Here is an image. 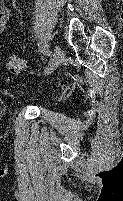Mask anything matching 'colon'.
Masks as SVG:
<instances>
[{"label":"colon","mask_w":123,"mask_h":201,"mask_svg":"<svg viewBox=\"0 0 123 201\" xmlns=\"http://www.w3.org/2000/svg\"><path fill=\"white\" fill-rule=\"evenodd\" d=\"M7 67L11 73L19 74L26 69L27 63L23 58L13 55L8 59Z\"/></svg>","instance_id":"5ec220e1"}]
</instances>
